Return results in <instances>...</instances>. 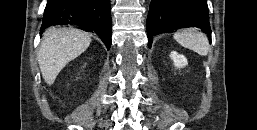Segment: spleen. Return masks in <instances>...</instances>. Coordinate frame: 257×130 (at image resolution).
<instances>
[{
	"label": "spleen",
	"instance_id": "obj_1",
	"mask_svg": "<svg viewBox=\"0 0 257 130\" xmlns=\"http://www.w3.org/2000/svg\"><path fill=\"white\" fill-rule=\"evenodd\" d=\"M174 38L181 46L193 50L199 55L206 56L208 54L209 44L206 36L193 28L176 32Z\"/></svg>",
	"mask_w": 257,
	"mask_h": 130
}]
</instances>
